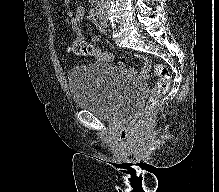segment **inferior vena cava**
Masks as SVG:
<instances>
[{
    "instance_id": "obj_1",
    "label": "inferior vena cava",
    "mask_w": 219,
    "mask_h": 192,
    "mask_svg": "<svg viewBox=\"0 0 219 192\" xmlns=\"http://www.w3.org/2000/svg\"><path fill=\"white\" fill-rule=\"evenodd\" d=\"M98 2H101L102 6L107 8L109 6V0H97Z\"/></svg>"
}]
</instances>
